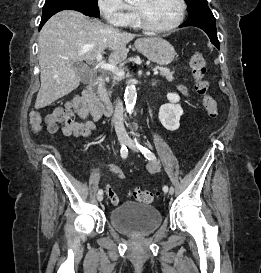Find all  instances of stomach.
<instances>
[{"mask_svg":"<svg viewBox=\"0 0 261 273\" xmlns=\"http://www.w3.org/2000/svg\"><path fill=\"white\" fill-rule=\"evenodd\" d=\"M137 50L159 65L170 64L176 55L173 46L163 38H141L135 42Z\"/></svg>","mask_w":261,"mask_h":273,"instance_id":"obj_1","label":"stomach"}]
</instances>
